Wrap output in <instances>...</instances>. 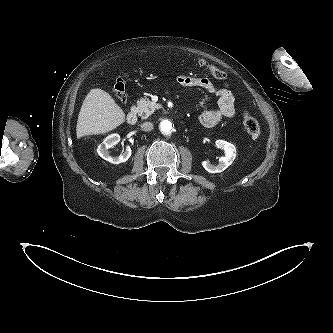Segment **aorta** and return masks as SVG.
<instances>
[{
    "label": "aorta",
    "instance_id": "762f6f07",
    "mask_svg": "<svg viewBox=\"0 0 333 333\" xmlns=\"http://www.w3.org/2000/svg\"><path fill=\"white\" fill-rule=\"evenodd\" d=\"M160 129L163 133L169 134L172 131V123L168 120H164L160 124Z\"/></svg>",
    "mask_w": 333,
    "mask_h": 333
}]
</instances>
